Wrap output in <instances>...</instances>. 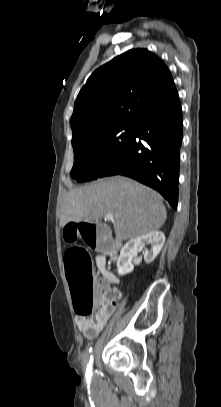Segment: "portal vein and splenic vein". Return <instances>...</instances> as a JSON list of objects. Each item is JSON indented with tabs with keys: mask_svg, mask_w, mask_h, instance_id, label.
Masks as SVG:
<instances>
[{
	"mask_svg": "<svg viewBox=\"0 0 221 407\" xmlns=\"http://www.w3.org/2000/svg\"><path fill=\"white\" fill-rule=\"evenodd\" d=\"M104 218H105V220L114 221V216H113V214H106Z\"/></svg>",
	"mask_w": 221,
	"mask_h": 407,
	"instance_id": "portal-vein-and-splenic-vein-1",
	"label": "portal vein and splenic vein"
}]
</instances>
